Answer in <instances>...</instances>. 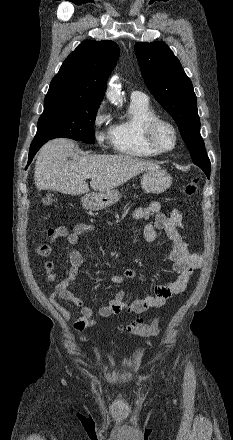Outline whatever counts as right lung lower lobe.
Returning a JSON list of instances; mask_svg holds the SVG:
<instances>
[{"mask_svg":"<svg viewBox=\"0 0 233 440\" xmlns=\"http://www.w3.org/2000/svg\"><path fill=\"white\" fill-rule=\"evenodd\" d=\"M46 140H33L30 146V152H29V158H28V164L32 161L34 155L36 152L41 148L43 144H45Z\"/></svg>","mask_w":233,"mask_h":440,"instance_id":"1","label":"right lung lower lobe"}]
</instances>
